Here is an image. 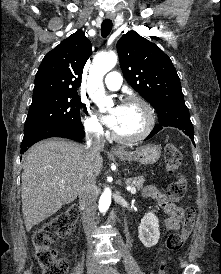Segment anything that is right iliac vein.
Here are the masks:
<instances>
[{"mask_svg":"<svg viewBox=\"0 0 221 274\" xmlns=\"http://www.w3.org/2000/svg\"><path fill=\"white\" fill-rule=\"evenodd\" d=\"M87 274H97V268L95 266L88 267Z\"/></svg>","mask_w":221,"mask_h":274,"instance_id":"obj_1","label":"right iliac vein"}]
</instances>
